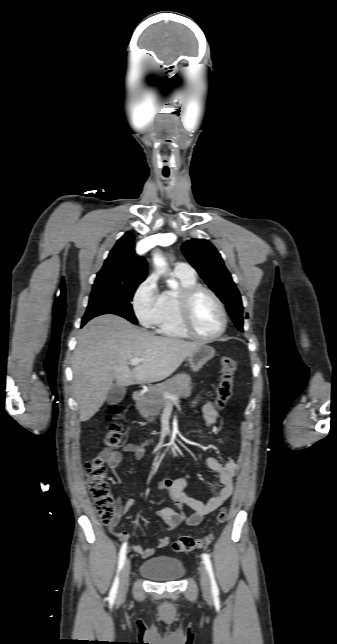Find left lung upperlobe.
<instances>
[{
	"label": "left lung upper lobe",
	"instance_id": "1",
	"mask_svg": "<svg viewBox=\"0 0 337 644\" xmlns=\"http://www.w3.org/2000/svg\"><path fill=\"white\" fill-rule=\"evenodd\" d=\"M182 251L205 283L226 305L237 329L243 331L241 297L216 248L205 239H192L182 244Z\"/></svg>",
	"mask_w": 337,
	"mask_h": 644
}]
</instances>
